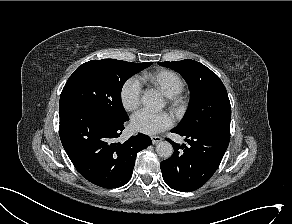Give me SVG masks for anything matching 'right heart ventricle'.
<instances>
[{"label":"right heart ventricle","instance_id":"right-heart-ventricle-1","mask_svg":"<svg viewBox=\"0 0 292 224\" xmlns=\"http://www.w3.org/2000/svg\"><path fill=\"white\" fill-rule=\"evenodd\" d=\"M143 78L160 89L168 97H175L184 89V82L181 77L170 70L147 74Z\"/></svg>","mask_w":292,"mask_h":224}]
</instances>
